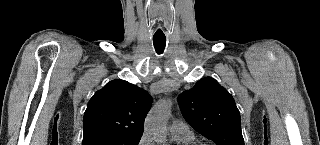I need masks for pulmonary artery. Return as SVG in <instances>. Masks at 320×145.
Here are the masks:
<instances>
[{
    "mask_svg": "<svg viewBox=\"0 0 320 145\" xmlns=\"http://www.w3.org/2000/svg\"><path fill=\"white\" fill-rule=\"evenodd\" d=\"M169 128L171 135H188L192 133L189 125L181 120H174Z\"/></svg>",
    "mask_w": 320,
    "mask_h": 145,
    "instance_id": "e3ab8cb5",
    "label": "pulmonary artery"
}]
</instances>
